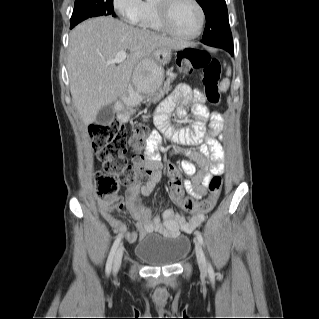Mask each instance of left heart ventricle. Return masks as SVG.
Returning a JSON list of instances; mask_svg holds the SVG:
<instances>
[{
	"label": "left heart ventricle",
	"mask_w": 319,
	"mask_h": 319,
	"mask_svg": "<svg viewBox=\"0 0 319 319\" xmlns=\"http://www.w3.org/2000/svg\"><path fill=\"white\" fill-rule=\"evenodd\" d=\"M170 23L173 29L181 35H191L195 33L199 14L189 0H177L170 13Z\"/></svg>",
	"instance_id": "b2bd125f"
}]
</instances>
